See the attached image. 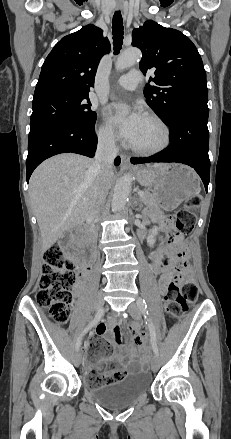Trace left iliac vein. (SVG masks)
<instances>
[{
    "label": "left iliac vein",
    "instance_id": "1",
    "mask_svg": "<svg viewBox=\"0 0 231 439\" xmlns=\"http://www.w3.org/2000/svg\"><path fill=\"white\" fill-rule=\"evenodd\" d=\"M129 313L133 316L134 319L139 320L141 317L142 310L138 306L137 303H131L128 307ZM160 367V358L158 355H154L151 361L152 371L156 372Z\"/></svg>",
    "mask_w": 231,
    "mask_h": 439
}]
</instances>
